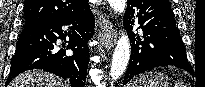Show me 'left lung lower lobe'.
Here are the masks:
<instances>
[{
  "label": "left lung lower lobe",
  "mask_w": 205,
  "mask_h": 87,
  "mask_svg": "<svg viewBox=\"0 0 205 87\" xmlns=\"http://www.w3.org/2000/svg\"><path fill=\"white\" fill-rule=\"evenodd\" d=\"M134 22L142 29L144 40L130 35L131 56L124 84L134 76L160 66L173 65L191 73L168 0H128L123 22L127 31H132Z\"/></svg>",
  "instance_id": "1"
}]
</instances>
